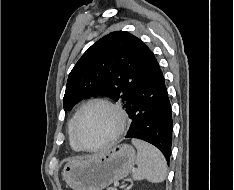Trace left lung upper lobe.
Wrapping results in <instances>:
<instances>
[{
  "mask_svg": "<svg viewBox=\"0 0 234 190\" xmlns=\"http://www.w3.org/2000/svg\"><path fill=\"white\" fill-rule=\"evenodd\" d=\"M144 43L125 31L112 32L94 43L69 74L64 110L89 96H107L124 108L143 79Z\"/></svg>",
  "mask_w": 234,
  "mask_h": 190,
  "instance_id": "left-lung-upper-lobe-1",
  "label": "left lung upper lobe"
}]
</instances>
